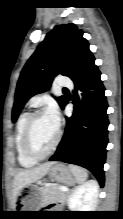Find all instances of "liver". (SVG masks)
<instances>
[{"instance_id": "obj_1", "label": "liver", "mask_w": 123, "mask_h": 219, "mask_svg": "<svg viewBox=\"0 0 123 219\" xmlns=\"http://www.w3.org/2000/svg\"><path fill=\"white\" fill-rule=\"evenodd\" d=\"M53 164H55V162H46L30 169L21 170L15 175L12 190L13 206L17 201V197L21 194V191L45 176Z\"/></svg>"}]
</instances>
